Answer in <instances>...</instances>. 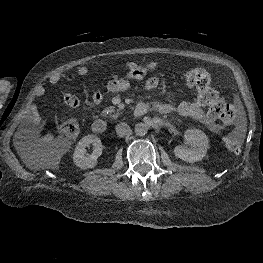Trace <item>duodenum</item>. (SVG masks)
I'll list each match as a JSON object with an SVG mask.
<instances>
[{"label": "duodenum", "instance_id": "1", "mask_svg": "<svg viewBox=\"0 0 263 263\" xmlns=\"http://www.w3.org/2000/svg\"><path fill=\"white\" fill-rule=\"evenodd\" d=\"M149 106L146 103H139L134 109V116L140 117L149 110ZM92 131L96 134H104L107 131V124L102 119H96L92 123Z\"/></svg>", "mask_w": 263, "mask_h": 263}]
</instances>
